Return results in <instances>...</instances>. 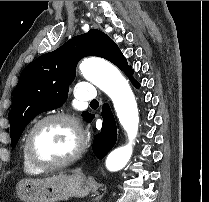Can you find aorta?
<instances>
[{
  "instance_id": "obj_1",
  "label": "aorta",
  "mask_w": 209,
  "mask_h": 202,
  "mask_svg": "<svg viewBox=\"0 0 209 202\" xmlns=\"http://www.w3.org/2000/svg\"><path fill=\"white\" fill-rule=\"evenodd\" d=\"M79 69L85 79L111 98L119 122L127 133L129 142L114 149L106 159L107 169L118 171L130 160L138 133L139 113L135 96L125 77L109 62L89 58L80 63Z\"/></svg>"
}]
</instances>
